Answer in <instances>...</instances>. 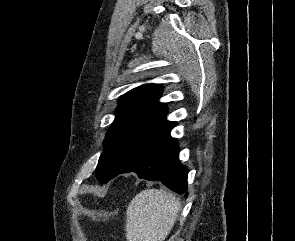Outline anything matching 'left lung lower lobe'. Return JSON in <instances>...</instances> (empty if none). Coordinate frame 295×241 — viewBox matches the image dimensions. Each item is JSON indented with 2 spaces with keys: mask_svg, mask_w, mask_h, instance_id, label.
<instances>
[{
  "mask_svg": "<svg viewBox=\"0 0 295 241\" xmlns=\"http://www.w3.org/2000/svg\"><path fill=\"white\" fill-rule=\"evenodd\" d=\"M129 172H135L142 179L159 180L171 190L188 196V169L180 164L177 140L170 136V132L153 142L112 178Z\"/></svg>",
  "mask_w": 295,
  "mask_h": 241,
  "instance_id": "0a47b994",
  "label": "left lung lower lobe"
}]
</instances>
